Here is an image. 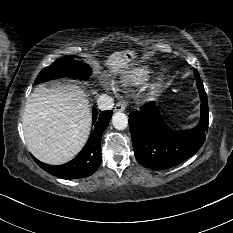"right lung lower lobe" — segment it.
<instances>
[{"mask_svg":"<svg viewBox=\"0 0 233 233\" xmlns=\"http://www.w3.org/2000/svg\"><path fill=\"white\" fill-rule=\"evenodd\" d=\"M112 117V111H97L93 109L94 130L91 132L88 142L82 151L70 162L51 166L40 162L33 157L34 161L45 171L52 175L65 179H79L91 176L101 163V137Z\"/></svg>","mask_w":233,"mask_h":233,"instance_id":"obj_1","label":"right lung lower lobe"}]
</instances>
